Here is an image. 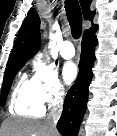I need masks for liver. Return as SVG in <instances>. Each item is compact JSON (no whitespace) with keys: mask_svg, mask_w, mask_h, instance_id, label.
<instances>
[{"mask_svg":"<svg viewBox=\"0 0 117 136\" xmlns=\"http://www.w3.org/2000/svg\"><path fill=\"white\" fill-rule=\"evenodd\" d=\"M3 136H58L50 132L45 122L21 118H8L2 123Z\"/></svg>","mask_w":117,"mask_h":136,"instance_id":"liver-1","label":"liver"}]
</instances>
